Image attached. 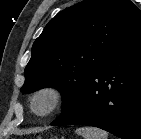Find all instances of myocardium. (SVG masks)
Segmentation results:
<instances>
[{"label":"myocardium","instance_id":"1","mask_svg":"<svg viewBox=\"0 0 141 139\" xmlns=\"http://www.w3.org/2000/svg\"><path fill=\"white\" fill-rule=\"evenodd\" d=\"M45 98L46 106L38 108V102ZM66 94L64 89L54 83H46L35 88L29 96L30 112L38 118H46L56 112L64 103Z\"/></svg>","mask_w":141,"mask_h":139}]
</instances>
